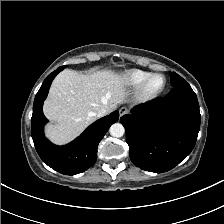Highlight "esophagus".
Listing matches in <instances>:
<instances>
[{
  "instance_id": "34e87169",
  "label": "esophagus",
  "mask_w": 224,
  "mask_h": 224,
  "mask_svg": "<svg viewBox=\"0 0 224 224\" xmlns=\"http://www.w3.org/2000/svg\"><path fill=\"white\" fill-rule=\"evenodd\" d=\"M128 113V109L126 107H122L119 109V114H120V117L127 114Z\"/></svg>"
}]
</instances>
